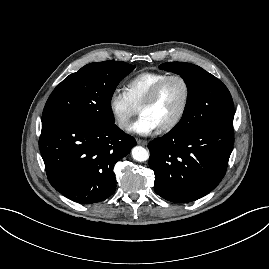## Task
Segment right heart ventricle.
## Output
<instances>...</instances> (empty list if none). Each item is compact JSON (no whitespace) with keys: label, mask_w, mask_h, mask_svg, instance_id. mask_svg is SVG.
<instances>
[{"label":"right heart ventricle","mask_w":269,"mask_h":269,"mask_svg":"<svg viewBox=\"0 0 269 269\" xmlns=\"http://www.w3.org/2000/svg\"><path fill=\"white\" fill-rule=\"evenodd\" d=\"M165 72L146 71L131 78L125 85V94L129 101L138 108L151 89L167 77Z\"/></svg>","instance_id":"obj_1"}]
</instances>
